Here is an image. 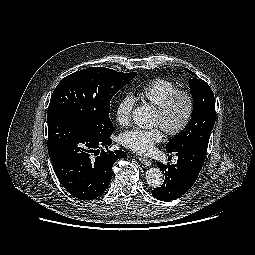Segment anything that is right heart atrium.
<instances>
[{"label":"right heart atrium","instance_id":"right-heart-atrium-1","mask_svg":"<svg viewBox=\"0 0 255 255\" xmlns=\"http://www.w3.org/2000/svg\"><path fill=\"white\" fill-rule=\"evenodd\" d=\"M134 99L131 95H124L118 101L115 108V117L118 123L127 124L132 116Z\"/></svg>","mask_w":255,"mask_h":255}]
</instances>
